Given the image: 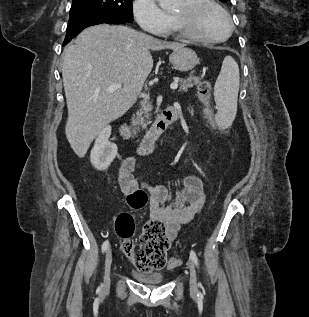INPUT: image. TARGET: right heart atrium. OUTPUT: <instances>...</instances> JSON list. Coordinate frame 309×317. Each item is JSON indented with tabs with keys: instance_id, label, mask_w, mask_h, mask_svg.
Here are the masks:
<instances>
[{
	"instance_id": "obj_1",
	"label": "right heart atrium",
	"mask_w": 309,
	"mask_h": 317,
	"mask_svg": "<svg viewBox=\"0 0 309 317\" xmlns=\"http://www.w3.org/2000/svg\"><path fill=\"white\" fill-rule=\"evenodd\" d=\"M132 11L138 25L150 34L158 35L171 25L169 15L156 0H134Z\"/></svg>"
}]
</instances>
